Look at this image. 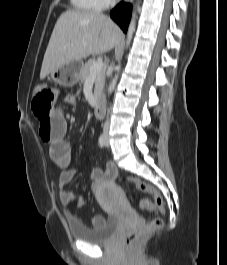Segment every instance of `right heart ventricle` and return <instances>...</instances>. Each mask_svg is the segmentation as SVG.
Here are the masks:
<instances>
[{
    "mask_svg": "<svg viewBox=\"0 0 227 265\" xmlns=\"http://www.w3.org/2000/svg\"><path fill=\"white\" fill-rule=\"evenodd\" d=\"M73 8L78 11H93L98 9L96 0H70Z\"/></svg>",
    "mask_w": 227,
    "mask_h": 265,
    "instance_id": "obj_1",
    "label": "right heart ventricle"
}]
</instances>
